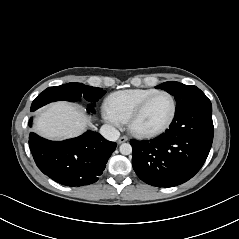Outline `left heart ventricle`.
<instances>
[{
  "label": "left heart ventricle",
  "mask_w": 239,
  "mask_h": 239,
  "mask_svg": "<svg viewBox=\"0 0 239 239\" xmlns=\"http://www.w3.org/2000/svg\"><path fill=\"white\" fill-rule=\"evenodd\" d=\"M172 113V101L167 95L153 98L136 121L141 130H153L162 126Z\"/></svg>",
  "instance_id": "obj_1"
}]
</instances>
